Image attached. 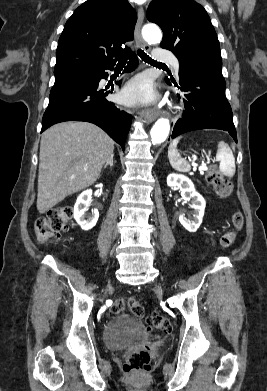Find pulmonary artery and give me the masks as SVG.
<instances>
[{
  "instance_id": "pulmonary-artery-1",
  "label": "pulmonary artery",
  "mask_w": 267,
  "mask_h": 391,
  "mask_svg": "<svg viewBox=\"0 0 267 391\" xmlns=\"http://www.w3.org/2000/svg\"><path fill=\"white\" fill-rule=\"evenodd\" d=\"M154 58L155 60L160 62H169L176 71L179 70L178 59L173 54L167 52L166 50L156 49L154 52Z\"/></svg>"
}]
</instances>
